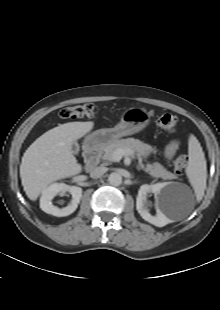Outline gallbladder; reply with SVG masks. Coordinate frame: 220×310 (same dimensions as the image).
Here are the masks:
<instances>
[{
	"instance_id": "bac80fb5",
	"label": "gallbladder",
	"mask_w": 220,
	"mask_h": 310,
	"mask_svg": "<svg viewBox=\"0 0 220 310\" xmlns=\"http://www.w3.org/2000/svg\"><path fill=\"white\" fill-rule=\"evenodd\" d=\"M79 145H78V143L77 142H73V144H72V153L73 154H78L79 153Z\"/></svg>"
}]
</instances>
